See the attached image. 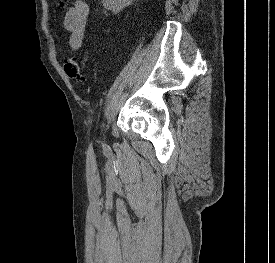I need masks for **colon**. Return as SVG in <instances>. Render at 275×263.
Returning a JSON list of instances; mask_svg holds the SVG:
<instances>
[{
    "instance_id": "colon-1",
    "label": "colon",
    "mask_w": 275,
    "mask_h": 263,
    "mask_svg": "<svg viewBox=\"0 0 275 263\" xmlns=\"http://www.w3.org/2000/svg\"><path fill=\"white\" fill-rule=\"evenodd\" d=\"M68 0H58V4L61 8H64ZM65 74L76 83L82 84L86 78L82 72L78 59L75 57H69L64 61Z\"/></svg>"
}]
</instances>
